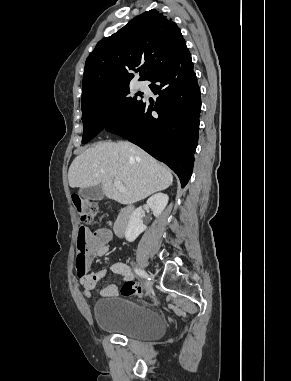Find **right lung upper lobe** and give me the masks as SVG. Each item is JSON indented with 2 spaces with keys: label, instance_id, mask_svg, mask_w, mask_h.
I'll return each instance as SVG.
<instances>
[{
  "label": "right lung upper lobe",
  "instance_id": "right-lung-upper-lobe-1",
  "mask_svg": "<svg viewBox=\"0 0 291 381\" xmlns=\"http://www.w3.org/2000/svg\"><path fill=\"white\" fill-rule=\"evenodd\" d=\"M185 48L176 23L155 9L144 12L99 41L90 53L85 63L82 104L129 85L134 77L131 71H140V80H149Z\"/></svg>",
  "mask_w": 291,
  "mask_h": 381
}]
</instances>
